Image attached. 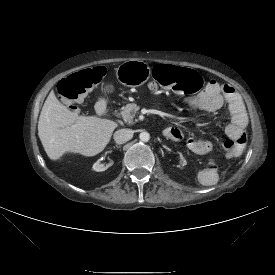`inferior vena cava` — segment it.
<instances>
[{"instance_id": "1", "label": "inferior vena cava", "mask_w": 275, "mask_h": 275, "mask_svg": "<svg viewBox=\"0 0 275 275\" xmlns=\"http://www.w3.org/2000/svg\"><path fill=\"white\" fill-rule=\"evenodd\" d=\"M133 133L131 129H119L114 133V141L117 144H123L133 137Z\"/></svg>"}]
</instances>
